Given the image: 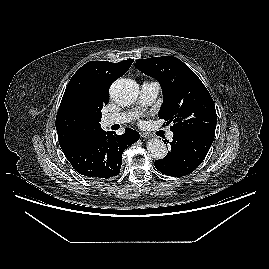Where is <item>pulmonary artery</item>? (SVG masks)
Returning <instances> with one entry per match:
<instances>
[{"label":"pulmonary artery","instance_id":"obj_1","mask_svg":"<svg viewBox=\"0 0 269 269\" xmlns=\"http://www.w3.org/2000/svg\"><path fill=\"white\" fill-rule=\"evenodd\" d=\"M160 91V85L156 81H145L141 85L140 91V105L141 107H147L151 105L157 98ZM133 114L128 113H114L105 115L102 119L105 126H111L114 124H124L133 118ZM169 139H172L173 133L170 131L167 134Z\"/></svg>","mask_w":269,"mask_h":269}]
</instances>
